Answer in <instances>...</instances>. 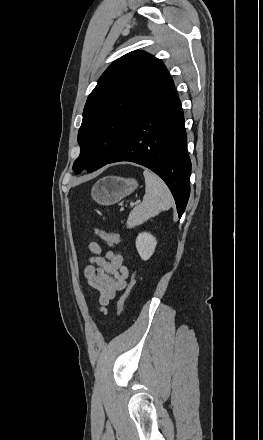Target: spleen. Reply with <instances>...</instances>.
<instances>
[{"label":"spleen","instance_id":"1","mask_svg":"<svg viewBox=\"0 0 263 440\" xmlns=\"http://www.w3.org/2000/svg\"><path fill=\"white\" fill-rule=\"evenodd\" d=\"M143 175L146 183L145 195L143 202L129 214L127 221L129 227L140 225L173 206L172 194L164 181L147 169L144 170Z\"/></svg>","mask_w":263,"mask_h":440}]
</instances>
